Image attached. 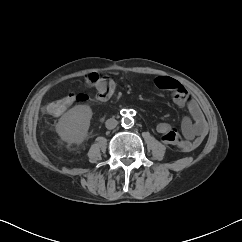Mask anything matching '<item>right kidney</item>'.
Returning <instances> with one entry per match:
<instances>
[{
	"instance_id": "ca27d5eb",
	"label": "right kidney",
	"mask_w": 242,
	"mask_h": 242,
	"mask_svg": "<svg viewBox=\"0 0 242 242\" xmlns=\"http://www.w3.org/2000/svg\"><path fill=\"white\" fill-rule=\"evenodd\" d=\"M92 115L90 106L76 105L61 116L56 132L67 143L81 144L87 138Z\"/></svg>"
}]
</instances>
